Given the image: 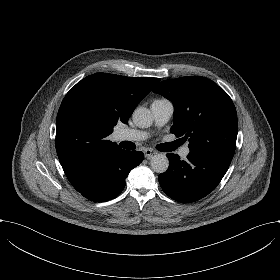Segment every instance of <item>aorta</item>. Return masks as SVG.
<instances>
[{
    "instance_id": "762f6f07",
    "label": "aorta",
    "mask_w": 280,
    "mask_h": 280,
    "mask_svg": "<svg viewBox=\"0 0 280 280\" xmlns=\"http://www.w3.org/2000/svg\"><path fill=\"white\" fill-rule=\"evenodd\" d=\"M132 120L137 127L147 128L153 123V115L150 109L139 107L134 110ZM150 166L154 172L162 174L168 170L169 160L164 154H157L151 158Z\"/></svg>"
}]
</instances>
